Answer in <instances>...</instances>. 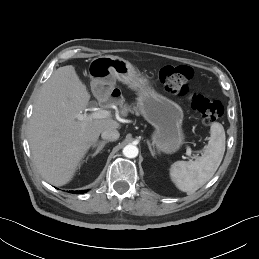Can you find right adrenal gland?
Wrapping results in <instances>:
<instances>
[{"instance_id": "2a0ac1e0", "label": "right adrenal gland", "mask_w": 259, "mask_h": 259, "mask_svg": "<svg viewBox=\"0 0 259 259\" xmlns=\"http://www.w3.org/2000/svg\"><path fill=\"white\" fill-rule=\"evenodd\" d=\"M109 143V141H100V142H97L95 143L93 146H92V150L96 148L95 152L90 154L91 157H95L103 148L104 146Z\"/></svg>"}]
</instances>
